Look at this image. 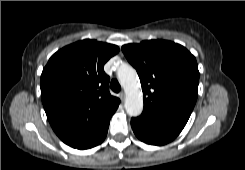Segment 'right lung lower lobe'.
I'll use <instances>...</instances> for the list:
<instances>
[{
	"instance_id": "right-lung-lower-lobe-1",
	"label": "right lung lower lobe",
	"mask_w": 245,
	"mask_h": 170,
	"mask_svg": "<svg viewBox=\"0 0 245 170\" xmlns=\"http://www.w3.org/2000/svg\"><path fill=\"white\" fill-rule=\"evenodd\" d=\"M109 122L101 129V131L93 139L83 144L82 146L78 147V149H88V148L99 145L105 139L107 135Z\"/></svg>"
}]
</instances>
